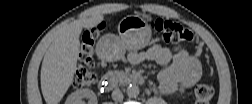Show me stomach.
<instances>
[{"label":"stomach","instance_id":"0dacf381","mask_svg":"<svg viewBox=\"0 0 252 104\" xmlns=\"http://www.w3.org/2000/svg\"><path fill=\"white\" fill-rule=\"evenodd\" d=\"M119 35L106 34L98 43V50L109 61L120 60L127 50L146 47L151 39L148 22L138 15H127L118 24Z\"/></svg>","mask_w":252,"mask_h":104}]
</instances>
